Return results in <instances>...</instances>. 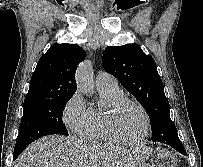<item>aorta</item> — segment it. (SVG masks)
<instances>
[{
  "label": "aorta",
  "instance_id": "aorta-1",
  "mask_svg": "<svg viewBox=\"0 0 203 167\" xmlns=\"http://www.w3.org/2000/svg\"><path fill=\"white\" fill-rule=\"evenodd\" d=\"M76 82L78 89L85 94L93 93V78H92V69L90 62L82 63L77 70Z\"/></svg>",
  "mask_w": 203,
  "mask_h": 167
}]
</instances>
